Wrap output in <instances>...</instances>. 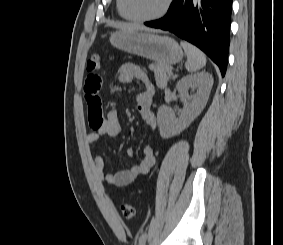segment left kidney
Masks as SVG:
<instances>
[{
    "mask_svg": "<svg viewBox=\"0 0 283 245\" xmlns=\"http://www.w3.org/2000/svg\"><path fill=\"white\" fill-rule=\"evenodd\" d=\"M212 86L213 77L207 72L187 75L178 81L176 89L183 102V109L179 118L175 117L169 106H161L158 109L157 122L162 138L168 139L180 134L198 117L208 101ZM191 87L197 88V93L189 96L188 90Z\"/></svg>",
    "mask_w": 283,
    "mask_h": 245,
    "instance_id": "left-kidney-1",
    "label": "left kidney"
}]
</instances>
